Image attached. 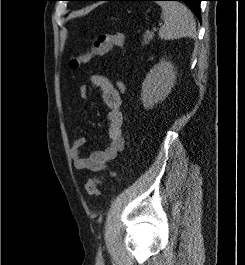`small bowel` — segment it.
Masks as SVG:
<instances>
[{
    "mask_svg": "<svg viewBox=\"0 0 245 265\" xmlns=\"http://www.w3.org/2000/svg\"><path fill=\"white\" fill-rule=\"evenodd\" d=\"M89 81L101 91L103 101L109 109L108 144L101 151H94L88 156H83L82 149L86 144V139L77 137L71 144L70 155L76 170L100 172L106 168L108 163L116 159L124 148L122 99L119 90L107 76L91 74ZM79 96L83 100L89 99V90L85 85L79 87Z\"/></svg>",
    "mask_w": 245,
    "mask_h": 265,
    "instance_id": "obj_1",
    "label": "small bowel"
}]
</instances>
